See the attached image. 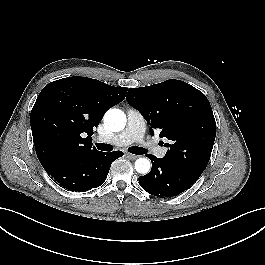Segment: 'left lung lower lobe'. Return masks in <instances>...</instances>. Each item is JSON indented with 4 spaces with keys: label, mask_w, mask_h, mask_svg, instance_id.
I'll return each mask as SVG.
<instances>
[{
    "label": "left lung lower lobe",
    "mask_w": 265,
    "mask_h": 265,
    "mask_svg": "<svg viewBox=\"0 0 265 265\" xmlns=\"http://www.w3.org/2000/svg\"><path fill=\"white\" fill-rule=\"evenodd\" d=\"M152 162L151 171L139 177L141 187L161 198L176 196L189 189L200 176L166 163L154 155H147Z\"/></svg>",
    "instance_id": "1"
}]
</instances>
